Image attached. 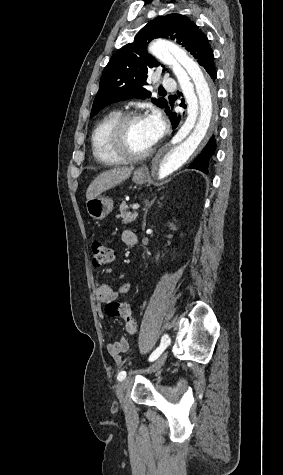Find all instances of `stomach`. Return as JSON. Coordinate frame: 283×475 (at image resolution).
Wrapping results in <instances>:
<instances>
[{
  "label": "stomach",
  "instance_id": "0dacf381",
  "mask_svg": "<svg viewBox=\"0 0 283 475\" xmlns=\"http://www.w3.org/2000/svg\"><path fill=\"white\" fill-rule=\"evenodd\" d=\"M149 174L146 168H137L133 174V182L135 184H146L149 182ZM86 208L89 216L94 220H103L113 210V200L110 198H104V196H97L92 200H87Z\"/></svg>",
  "mask_w": 283,
  "mask_h": 475
}]
</instances>
